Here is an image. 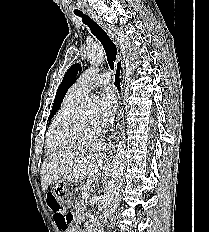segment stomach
I'll list each match as a JSON object with an SVG mask.
<instances>
[{"instance_id": "1", "label": "stomach", "mask_w": 209, "mask_h": 232, "mask_svg": "<svg viewBox=\"0 0 209 232\" xmlns=\"http://www.w3.org/2000/svg\"><path fill=\"white\" fill-rule=\"evenodd\" d=\"M54 196L57 203H76L77 199H81L83 187L81 182H56L54 187Z\"/></svg>"}]
</instances>
